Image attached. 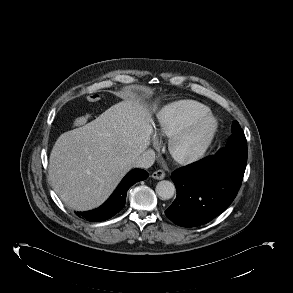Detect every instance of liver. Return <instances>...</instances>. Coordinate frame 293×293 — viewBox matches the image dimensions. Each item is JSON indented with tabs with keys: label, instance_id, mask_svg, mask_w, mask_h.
Masks as SVG:
<instances>
[{
	"label": "liver",
	"instance_id": "6515ba94",
	"mask_svg": "<svg viewBox=\"0 0 293 293\" xmlns=\"http://www.w3.org/2000/svg\"><path fill=\"white\" fill-rule=\"evenodd\" d=\"M140 99L122 101L55 142L49 180L69 207L86 211L100 206L150 144L153 127Z\"/></svg>",
	"mask_w": 293,
	"mask_h": 293
}]
</instances>
